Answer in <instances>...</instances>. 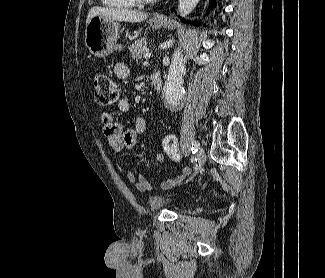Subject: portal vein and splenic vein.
I'll list each match as a JSON object with an SVG mask.
<instances>
[{
    "label": "portal vein and splenic vein",
    "mask_w": 325,
    "mask_h": 278,
    "mask_svg": "<svg viewBox=\"0 0 325 278\" xmlns=\"http://www.w3.org/2000/svg\"><path fill=\"white\" fill-rule=\"evenodd\" d=\"M151 56V52L150 51H146L145 54H144V58L145 59H149Z\"/></svg>",
    "instance_id": "obj_1"
}]
</instances>
